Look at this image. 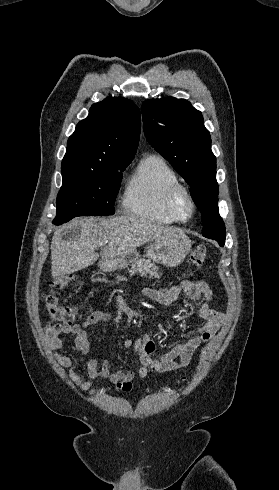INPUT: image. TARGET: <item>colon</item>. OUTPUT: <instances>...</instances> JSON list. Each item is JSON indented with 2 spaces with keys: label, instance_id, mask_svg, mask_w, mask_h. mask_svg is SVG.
Returning <instances> with one entry per match:
<instances>
[{
  "label": "colon",
  "instance_id": "1",
  "mask_svg": "<svg viewBox=\"0 0 279 490\" xmlns=\"http://www.w3.org/2000/svg\"><path fill=\"white\" fill-rule=\"evenodd\" d=\"M207 248L205 244H198L189 257V263L195 268H202L205 265ZM71 277L64 276L55 283V287L64 285L69 282ZM45 309L49 319L54 322H61L67 325H72L80 320V312L77 307L64 306L58 295L55 292L45 296Z\"/></svg>",
  "mask_w": 279,
  "mask_h": 490
}]
</instances>
